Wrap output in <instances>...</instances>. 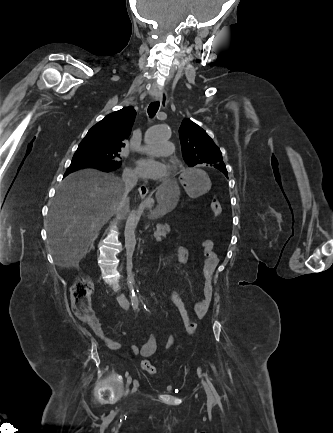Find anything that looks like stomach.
Segmentation results:
<instances>
[{
    "label": "stomach",
    "mask_w": 333,
    "mask_h": 433,
    "mask_svg": "<svg viewBox=\"0 0 333 433\" xmlns=\"http://www.w3.org/2000/svg\"><path fill=\"white\" fill-rule=\"evenodd\" d=\"M177 183H184L186 192L192 198L206 194L211 188L206 169H183L181 174H177ZM144 203L149 204L147 201Z\"/></svg>",
    "instance_id": "stomach-1"
}]
</instances>
